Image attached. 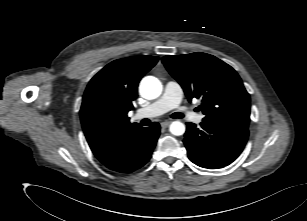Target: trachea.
<instances>
[{"label": "trachea", "instance_id": "obj_1", "mask_svg": "<svg viewBox=\"0 0 307 221\" xmlns=\"http://www.w3.org/2000/svg\"><path fill=\"white\" fill-rule=\"evenodd\" d=\"M184 115L182 113L176 112L174 114H172V118H183ZM149 120L148 119H143L142 124L143 125H148Z\"/></svg>", "mask_w": 307, "mask_h": 221}]
</instances>
